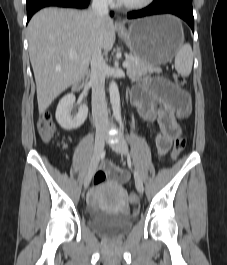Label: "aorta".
Instances as JSON below:
<instances>
[{"instance_id":"obj_1","label":"aorta","mask_w":227,"mask_h":265,"mask_svg":"<svg viewBox=\"0 0 227 265\" xmlns=\"http://www.w3.org/2000/svg\"><path fill=\"white\" fill-rule=\"evenodd\" d=\"M110 102L116 120H121L120 95L115 81L109 85Z\"/></svg>"}]
</instances>
